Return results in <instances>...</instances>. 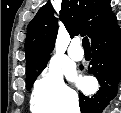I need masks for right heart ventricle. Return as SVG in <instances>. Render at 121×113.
<instances>
[{
	"label": "right heart ventricle",
	"mask_w": 121,
	"mask_h": 113,
	"mask_svg": "<svg viewBox=\"0 0 121 113\" xmlns=\"http://www.w3.org/2000/svg\"><path fill=\"white\" fill-rule=\"evenodd\" d=\"M31 106L34 111H37L36 113H46V111L42 108V106L36 103L34 100H32Z\"/></svg>",
	"instance_id": "obj_1"
}]
</instances>
